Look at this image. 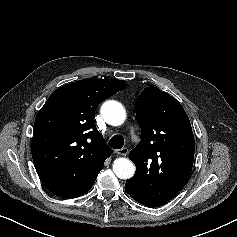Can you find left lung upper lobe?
Wrapping results in <instances>:
<instances>
[{
  "mask_svg": "<svg viewBox=\"0 0 237 237\" xmlns=\"http://www.w3.org/2000/svg\"><path fill=\"white\" fill-rule=\"evenodd\" d=\"M141 141L130 154L136 165L131 178L137 201L159 207L187 183L194 160L195 142L182 105L156 87L145 88L136 102Z\"/></svg>",
  "mask_w": 237,
  "mask_h": 237,
  "instance_id": "5c2ea615",
  "label": "left lung upper lobe"
}]
</instances>
